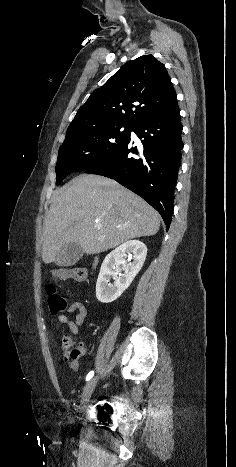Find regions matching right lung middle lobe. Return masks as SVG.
<instances>
[{
	"label": "right lung middle lobe",
	"instance_id": "dd1d6c3e",
	"mask_svg": "<svg viewBox=\"0 0 236 467\" xmlns=\"http://www.w3.org/2000/svg\"><path fill=\"white\" fill-rule=\"evenodd\" d=\"M132 130L130 126L114 125L66 136L55 167L57 184L72 172L85 171L106 160L127 142Z\"/></svg>",
	"mask_w": 236,
	"mask_h": 467
}]
</instances>
